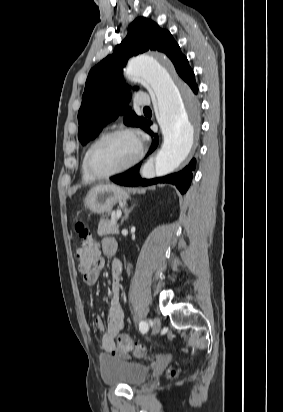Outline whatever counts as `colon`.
<instances>
[{
  "mask_svg": "<svg viewBox=\"0 0 283 412\" xmlns=\"http://www.w3.org/2000/svg\"><path fill=\"white\" fill-rule=\"evenodd\" d=\"M75 229L79 237L81 238V245L77 250L79 268L82 272H84L88 270V268L98 256L97 243L82 221L76 222ZM117 347L118 350L123 354L132 353L136 356H141L147 351L145 347L136 343L127 335H120L118 337ZM170 375L175 376L176 370L172 369L170 371Z\"/></svg>",
  "mask_w": 283,
  "mask_h": 412,
  "instance_id": "colon-1",
  "label": "colon"
}]
</instances>
